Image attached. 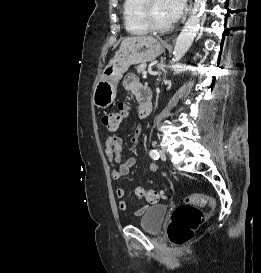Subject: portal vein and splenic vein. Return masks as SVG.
Wrapping results in <instances>:
<instances>
[{"mask_svg": "<svg viewBox=\"0 0 261 273\" xmlns=\"http://www.w3.org/2000/svg\"><path fill=\"white\" fill-rule=\"evenodd\" d=\"M143 78L146 79L147 78V72L143 73Z\"/></svg>", "mask_w": 261, "mask_h": 273, "instance_id": "18ae733b", "label": "portal vein and splenic vein"}]
</instances>
